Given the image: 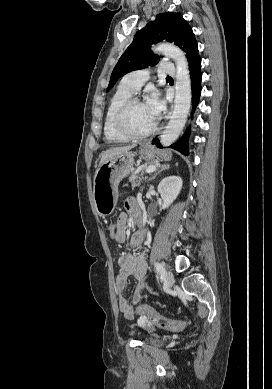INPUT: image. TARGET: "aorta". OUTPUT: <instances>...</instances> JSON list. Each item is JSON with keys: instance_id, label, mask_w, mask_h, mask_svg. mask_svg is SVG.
Instances as JSON below:
<instances>
[{"instance_id": "aorta-1", "label": "aorta", "mask_w": 272, "mask_h": 389, "mask_svg": "<svg viewBox=\"0 0 272 389\" xmlns=\"http://www.w3.org/2000/svg\"><path fill=\"white\" fill-rule=\"evenodd\" d=\"M173 59L176 64L175 105L171 119L160 136L163 146L171 145L180 135L191 107V80L185 53L175 45L164 43L153 49Z\"/></svg>"}]
</instances>
